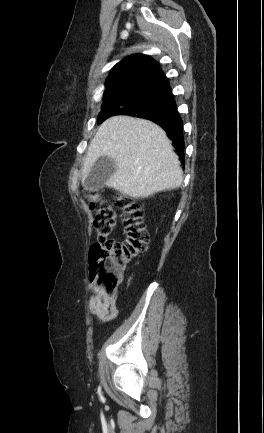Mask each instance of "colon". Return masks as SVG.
<instances>
[{
	"label": "colon",
	"mask_w": 264,
	"mask_h": 433,
	"mask_svg": "<svg viewBox=\"0 0 264 433\" xmlns=\"http://www.w3.org/2000/svg\"><path fill=\"white\" fill-rule=\"evenodd\" d=\"M90 207L97 214L94 228L97 242L90 249V275L108 297L116 296L127 264L143 253L149 242L144 224L143 204L126 195H118L115 204H108L95 190L86 191ZM115 207L122 211L125 239L115 241L111 234L116 226Z\"/></svg>",
	"instance_id": "1"
}]
</instances>
